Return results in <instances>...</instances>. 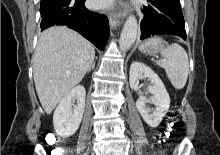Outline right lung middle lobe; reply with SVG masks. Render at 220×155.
Returning a JSON list of instances; mask_svg holds the SVG:
<instances>
[{
	"mask_svg": "<svg viewBox=\"0 0 220 155\" xmlns=\"http://www.w3.org/2000/svg\"><path fill=\"white\" fill-rule=\"evenodd\" d=\"M51 0H41V4L40 5H43V4H45V3H48V2H50Z\"/></svg>",
	"mask_w": 220,
	"mask_h": 155,
	"instance_id": "1",
	"label": "right lung middle lobe"
}]
</instances>
